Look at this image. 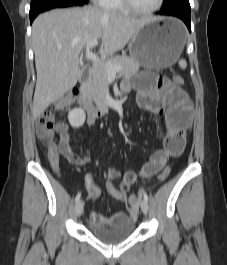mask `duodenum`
<instances>
[{
  "mask_svg": "<svg viewBox=\"0 0 227 265\" xmlns=\"http://www.w3.org/2000/svg\"><path fill=\"white\" fill-rule=\"evenodd\" d=\"M91 73V68L85 69L81 77V88L78 92V102L80 106L88 113L89 117L96 119L104 117L109 114L112 109V105L96 106L86 91V85L88 83Z\"/></svg>",
  "mask_w": 227,
  "mask_h": 265,
  "instance_id": "obj_1",
  "label": "duodenum"
}]
</instances>
